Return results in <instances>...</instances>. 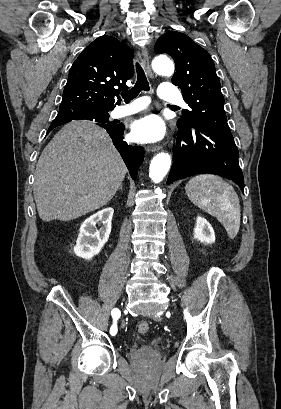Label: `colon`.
Wrapping results in <instances>:
<instances>
[{
    "mask_svg": "<svg viewBox=\"0 0 281 409\" xmlns=\"http://www.w3.org/2000/svg\"><path fill=\"white\" fill-rule=\"evenodd\" d=\"M136 330L140 334H147L150 330V324L146 321H141L137 324Z\"/></svg>",
    "mask_w": 281,
    "mask_h": 409,
    "instance_id": "colon-1",
    "label": "colon"
}]
</instances>
